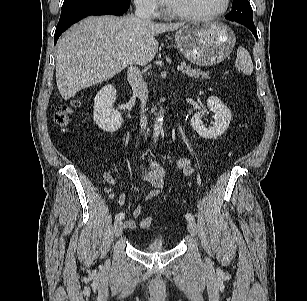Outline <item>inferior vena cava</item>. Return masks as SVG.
Here are the masks:
<instances>
[{
  "label": "inferior vena cava",
  "mask_w": 307,
  "mask_h": 301,
  "mask_svg": "<svg viewBox=\"0 0 307 301\" xmlns=\"http://www.w3.org/2000/svg\"><path fill=\"white\" fill-rule=\"evenodd\" d=\"M136 18L143 21H150L151 17L148 9L142 5L137 4L135 15ZM127 79L132 87L133 94L140 99L141 102V116H140V128L141 132L145 131L148 125V119L146 116V102L148 99V88L144 81L141 71L135 64L130 65L127 71Z\"/></svg>",
  "instance_id": "inferior-vena-cava-1"
}]
</instances>
